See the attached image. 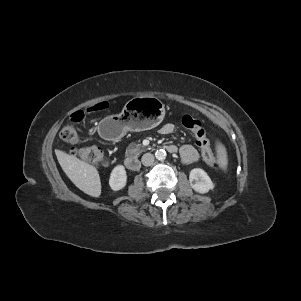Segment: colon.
<instances>
[{
  "mask_svg": "<svg viewBox=\"0 0 301 301\" xmlns=\"http://www.w3.org/2000/svg\"><path fill=\"white\" fill-rule=\"evenodd\" d=\"M106 107H107V103L101 102L89 107L87 111L95 112V111L105 109ZM163 111L166 114L170 115L171 117L175 116V113L172 112L167 107H164ZM84 117H85V113L83 111H76L73 114H71L69 120L66 122V124L62 127L60 131V137L65 142L73 145L71 149V152L73 154L77 155L82 160L90 163L95 167H104L108 164V160L103 149L100 146L91 145V146L81 147V148H77L75 146L80 143V137L77 132V125L80 122H82ZM181 122L185 128H187L193 133L195 137L196 145L199 147L201 151L203 160L211 167L218 168L220 164L216 160V158L214 157L211 151L210 144L206 137V133L202 126L201 121L190 115H185L182 118Z\"/></svg>",
  "mask_w": 301,
  "mask_h": 301,
  "instance_id": "colon-1",
  "label": "colon"
}]
</instances>
